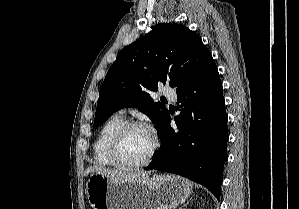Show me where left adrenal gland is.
<instances>
[{
    "mask_svg": "<svg viewBox=\"0 0 299 209\" xmlns=\"http://www.w3.org/2000/svg\"><path fill=\"white\" fill-rule=\"evenodd\" d=\"M186 206H187V204H185L183 207H186ZM179 209H185V208H182V207H181V208H179Z\"/></svg>",
    "mask_w": 299,
    "mask_h": 209,
    "instance_id": "1",
    "label": "left adrenal gland"
}]
</instances>
